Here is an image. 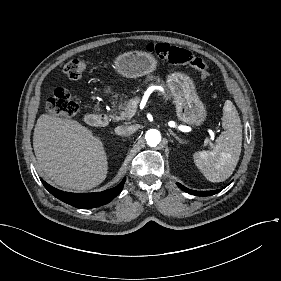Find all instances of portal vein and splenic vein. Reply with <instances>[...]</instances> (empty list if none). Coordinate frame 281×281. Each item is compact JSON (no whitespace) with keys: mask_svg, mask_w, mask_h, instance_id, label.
I'll return each mask as SVG.
<instances>
[{"mask_svg":"<svg viewBox=\"0 0 281 281\" xmlns=\"http://www.w3.org/2000/svg\"><path fill=\"white\" fill-rule=\"evenodd\" d=\"M166 92H167V91H166ZM139 98H140V99H143V98H144V95H143V94H140L139 97H138V96H135L134 98L131 99L130 104H129V106H128V108H127L125 114H124V116H125L126 119L129 120V119H131V118L133 117L134 112H135V110H136V108H137V105H138V103H139V101H138ZM126 121H127V120H126Z\"/></svg>","mask_w":281,"mask_h":281,"instance_id":"obj_1","label":"portal vein and splenic vein"}]
</instances>
